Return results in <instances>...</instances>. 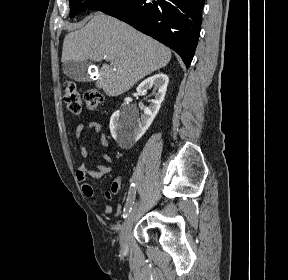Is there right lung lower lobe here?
<instances>
[{"mask_svg": "<svg viewBox=\"0 0 288 280\" xmlns=\"http://www.w3.org/2000/svg\"><path fill=\"white\" fill-rule=\"evenodd\" d=\"M204 0H119L98 10L167 45L190 66L198 43Z\"/></svg>", "mask_w": 288, "mask_h": 280, "instance_id": "obj_1", "label": "right lung lower lobe"}]
</instances>
